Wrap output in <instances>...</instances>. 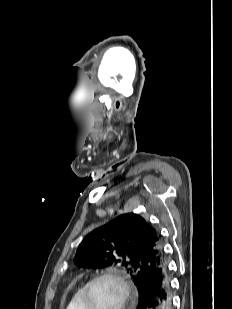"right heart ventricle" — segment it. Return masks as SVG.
Here are the masks:
<instances>
[{
    "mask_svg": "<svg viewBox=\"0 0 232 309\" xmlns=\"http://www.w3.org/2000/svg\"><path fill=\"white\" fill-rule=\"evenodd\" d=\"M84 286H80L73 293L70 301L67 305L66 309H84L82 304V294H83Z\"/></svg>",
    "mask_w": 232,
    "mask_h": 309,
    "instance_id": "e07e8e85",
    "label": "right heart ventricle"
}]
</instances>
